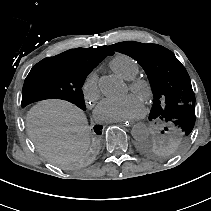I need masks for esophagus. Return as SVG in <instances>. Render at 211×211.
I'll list each match as a JSON object with an SVG mask.
<instances>
[{"mask_svg": "<svg viewBox=\"0 0 211 211\" xmlns=\"http://www.w3.org/2000/svg\"><path fill=\"white\" fill-rule=\"evenodd\" d=\"M110 123H116L117 126H119V127H121V126H122V127H123V126H125V127L128 126V127H129V126H131V124H132L131 121H129V120H128V121H126V120H125V121H123V120H122V121H121V120H119V121H112V122H110Z\"/></svg>", "mask_w": 211, "mask_h": 211, "instance_id": "34e87169", "label": "esophagus"}]
</instances>
